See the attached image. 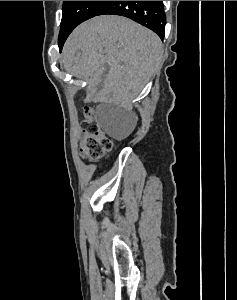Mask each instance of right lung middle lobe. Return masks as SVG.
Instances as JSON below:
<instances>
[{
  "label": "right lung middle lobe",
  "instance_id": "dd1d6c3e",
  "mask_svg": "<svg viewBox=\"0 0 237 300\" xmlns=\"http://www.w3.org/2000/svg\"><path fill=\"white\" fill-rule=\"evenodd\" d=\"M110 1H64L59 33V47L62 48L72 30L85 20L98 14Z\"/></svg>",
  "mask_w": 237,
  "mask_h": 300
}]
</instances>
